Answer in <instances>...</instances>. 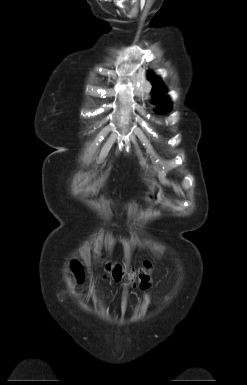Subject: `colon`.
<instances>
[{
    "mask_svg": "<svg viewBox=\"0 0 247 385\" xmlns=\"http://www.w3.org/2000/svg\"><path fill=\"white\" fill-rule=\"evenodd\" d=\"M153 264L147 260L141 267L126 269L120 264L106 263L104 265V271L107 277L115 282H121L124 280L129 281L132 285L139 288H146L151 282V271ZM74 273L79 281L83 280V272L78 265L74 266Z\"/></svg>",
    "mask_w": 247,
    "mask_h": 385,
    "instance_id": "colon-1",
    "label": "colon"
}]
</instances>
